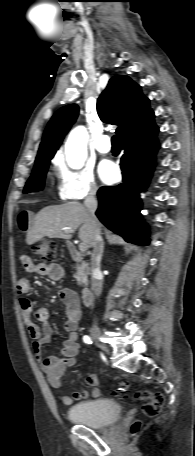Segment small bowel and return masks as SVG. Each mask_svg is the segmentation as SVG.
I'll use <instances>...</instances> for the list:
<instances>
[{"mask_svg":"<svg viewBox=\"0 0 195 456\" xmlns=\"http://www.w3.org/2000/svg\"><path fill=\"white\" fill-rule=\"evenodd\" d=\"M30 223V214L22 211L18 216V225L22 231H27ZM21 264L25 271L57 281L63 277V268L59 264L35 263L29 256L21 257ZM31 289L30 280L22 277L17 282V294L22 311L24 323L30 338L33 340V350L36 359L40 362L50 386L58 391L62 390L61 377L67 368L76 363V356L79 352L78 326L81 320V306L77 293L71 289H62L59 291V297L63 303L65 323L64 330L67 332V338L63 342L60 356L44 357L42 346L49 342L52 336V328L49 323V312L45 307L33 309L31 300L27 297ZM89 386L93 387L91 396L97 398L100 395L98 388L99 379L96 375H89L86 379ZM87 391H78L73 395L65 393L60 394V400L65 405H71L75 401L87 399Z\"/></svg>","mask_w":195,"mask_h":456,"instance_id":"small-bowel-1","label":"small bowel"}]
</instances>
